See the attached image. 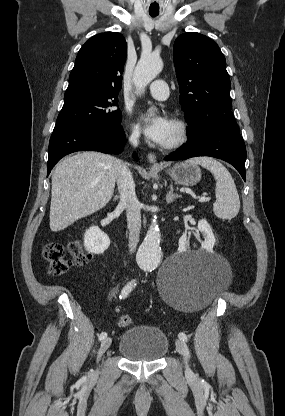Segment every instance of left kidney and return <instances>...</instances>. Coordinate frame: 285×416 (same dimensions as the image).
<instances>
[{"label":"left kidney","mask_w":285,"mask_h":416,"mask_svg":"<svg viewBox=\"0 0 285 416\" xmlns=\"http://www.w3.org/2000/svg\"><path fill=\"white\" fill-rule=\"evenodd\" d=\"M198 232H201L204 236V242H201L202 250H207V252H213L214 244L216 238L212 232L211 226H209L206 220H199L198 222ZM187 240L185 236H181L179 240V248H186Z\"/></svg>","instance_id":"left-kidney-1"}]
</instances>
